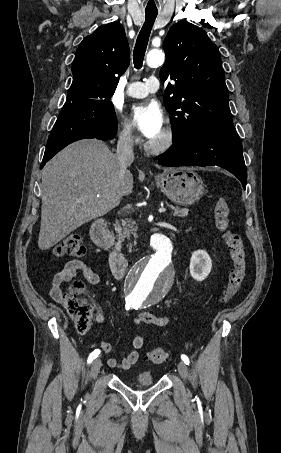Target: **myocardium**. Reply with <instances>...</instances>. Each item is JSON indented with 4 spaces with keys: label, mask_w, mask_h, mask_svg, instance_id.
Here are the masks:
<instances>
[{
    "label": "myocardium",
    "mask_w": 281,
    "mask_h": 453,
    "mask_svg": "<svg viewBox=\"0 0 281 453\" xmlns=\"http://www.w3.org/2000/svg\"><path fill=\"white\" fill-rule=\"evenodd\" d=\"M175 142V132L173 128L169 125L164 126V139L160 142H155L151 140H146L143 143V148L145 151L151 154H160L168 151Z\"/></svg>",
    "instance_id": "1"
}]
</instances>
